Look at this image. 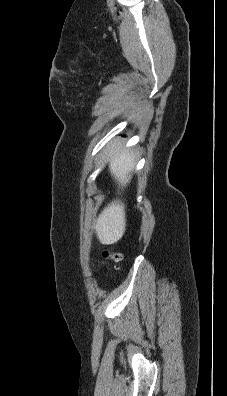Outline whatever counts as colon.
I'll return each instance as SVG.
<instances>
[{"mask_svg":"<svg viewBox=\"0 0 227 396\" xmlns=\"http://www.w3.org/2000/svg\"><path fill=\"white\" fill-rule=\"evenodd\" d=\"M104 257L106 258V259H109V260H113V261H120L121 259H122V255L120 254V253H110V252H106L105 254H104Z\"/></svg>","mask_w":227,"mask_h":396,"instance_id":"colon-1","label":"colon"}]
</instances>
